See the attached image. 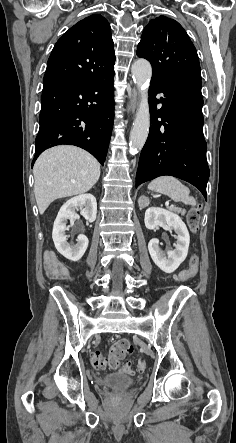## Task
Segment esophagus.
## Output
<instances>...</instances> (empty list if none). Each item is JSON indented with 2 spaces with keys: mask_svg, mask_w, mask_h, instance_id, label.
<instances>
[{
  "mask_svg": "<svg viewBox=\"0 0 236 443\" xmlns=\"http://www.w3.org/2000/svg\"><path fill=\"white\" fill-rule=\"evenodd\" d=\"M137 104H138V93H137L136 89L133 88L132 95H131V102H130V109L132 112L135 111Z\"/></svg>",
  "mask_w": 236,
  "mask_h": 443,
  "instance_id": "34e87169",
  "label": "esophagus"
}]
</instances>
